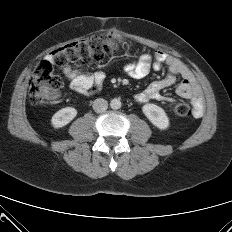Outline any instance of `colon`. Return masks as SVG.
Here are the masks:
<instances>
[{"label":"colon","instance_id":"colon-1","mask_svg":"<svg viewBox=\"0 0 232 232\" xmlns=\"http://www.w3.org/2000/svg\"><path fill=\"white\" fill-rule=\"evenodd\" d=\"M125 47L124 41L107 35L88 37L53 51L49 59L41 61L36 66L29 78L30 102L37 105L56 96L62 81L54 74V66H91L102 62L108 54ZM172 111L178 117H185L191 113L190 107L182 102L176 103L172 107Z\"/></svg>","mask_w":232,"mask_h":232}]
</instances>
